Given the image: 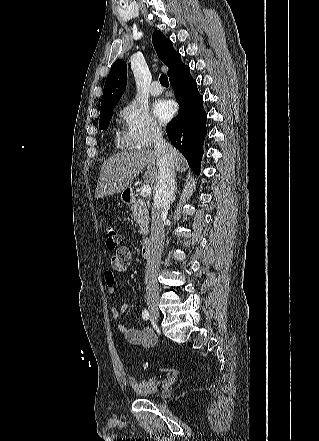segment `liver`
<instances>
[{"label":"liver","mask_w":319,"mask_h":441,"mask_svg":"<svg viewBox=\"0 0 319 441\" xmlns=\"http://www.w3.org/2000/svg\"><path fill=\"white\" fill-rule=\"evenodd\" d=\"M175 171L184 172L188 165L182 154L173 148ZM147 168L144 182L155 190L159 165L155 149H143L135 152L121 153L109 157L102 165L95 198L118 194L129 187L134 177Z\"/></svg>","instance_id":"1"}]
</instances>
